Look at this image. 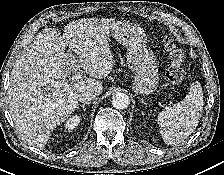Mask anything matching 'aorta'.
<instances>
[{"instance_id":"762f6f07","label":"aorta","mask_w":224,"mask_h":175,"mask_svg":"<svg viewBox=\"0 0 224 175\" xmlns=\"http://www.w3.org/2000/svg\"><path fill=\"white\" fill-rule=\"evenodd\" d=\"M130 104V99L125 93H116L112 98V105L116 109H126Z\"/></svg>"}]
</instances>
